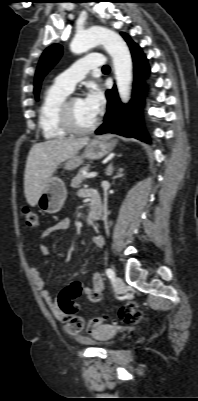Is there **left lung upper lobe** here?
Here are the masks:
<instances>
[{
    "label": "left lung upper lobe",
    "instance_id": "1",
    "mask_svg": "<svg viewBox=\"0 0 198 401\" xmlns=\"http://www.w3.org/2000/svg\"><path fill=\"white\" fill-rule=\"evenodd\" d=\"M125 36V33H122ZM62 55V46L54 44L48 47L42 54L35 75L34 93L38 97L41 81L47 72L57 63Z\"/></svg>",
    "mask_w": 198,
    "mask_h": 401
}]
</instances>
